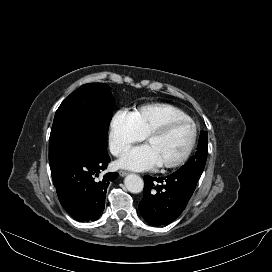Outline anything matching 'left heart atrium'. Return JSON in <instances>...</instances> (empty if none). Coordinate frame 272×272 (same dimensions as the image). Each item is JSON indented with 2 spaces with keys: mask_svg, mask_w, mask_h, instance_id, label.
<instances>
[{
  "mask_svg": "<svg viewBox=\"0 0 272 272\" xmlns=\"http://www.w3.org/2000/svg\"><path fill=\"white\" fill-rule=\"evenodd\" d=\"M160 164L157 154L148 144L129 149L118 161L120 167L135 171L148 170Z\"/></svg>",
  "mask_w": 272,
  "mask_h": 272,
  "instance_id": "obj_1",
  "label": "left heart atrium"
}]
</instances>
